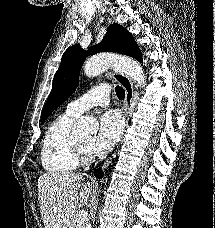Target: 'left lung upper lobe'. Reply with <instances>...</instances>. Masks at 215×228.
I'll use <instances>...</instances> for the list:
<instances>
[{
	"label": "left lung upper lobe",
	"mask_w": 215,
	"mask_h": 228,
	"mask_svg": "<svg viewBox=\"0 0 215 228\" xmlns=\"http://www.w3.org/2000/svg\"><path fill=\"white\" fill-rule=\"evenodd\" d=\"M114 51L142 61L141 52L133 36L120 24L109 26L103 40L88 51L79 44L69 47L63 54L61 64L53 79V87L42 111V123L78 86L81 67L89 55L99 52Z\"/></svg>",
	"instance_id": "1"
}]
</instances>
